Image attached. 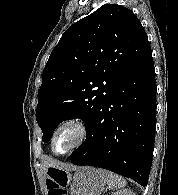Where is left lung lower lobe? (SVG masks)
<instances>
[{
  "instance_id": "1",
  "label": "left lung lower lobe",
  "mask_w": 178,
  "mask_h": 195,
  "mask_svg": "<svg viewBox=\"0 0 178 195\" xmlns=\"http://www.w3.org/2000/svg\"><path fill=\"white\" fill-rule=\"evenodd\" d=\"M156 82L152 52L111 89L70 156L75 165L104 168L148 183L154 149Z\"/></svg>"
}]
</instances>
